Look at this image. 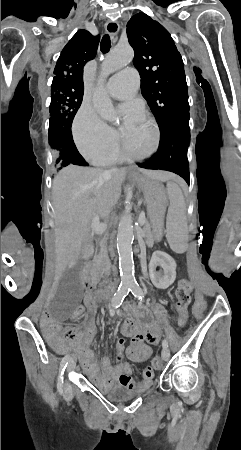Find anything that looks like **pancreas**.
I'll list each match as a JSON object with an SVG mask.
<instances>
[{"label":"pancreas","mask_w":241,"mask_h":450,"mask_svg":"<svg viewBox=\"0 0 241 450\" xmlns=\"http://www.w3.org/2000/svg\"><path fill=\"white\" fill-rule=\"evenodd\" d=\"M145 233H144V238L143 241L145 243H148V246H153V232H150V227H145ZM96 262H98V268H100L99 270V274H100V278H104L103 274H106V276H108L109 274V268H110V260L108 258V248H107V242L106 240H103L102 244H101V250L96 258ZM96 272L95 270H91V282L92 284H97V282H100V280H96V276H95Z\"/></svg>","instance_id":"obj_1"}]
</instances>
